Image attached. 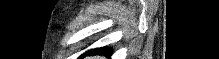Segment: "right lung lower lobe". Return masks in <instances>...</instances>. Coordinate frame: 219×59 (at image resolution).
<instances>
[{
  "label": "right lung lower lobe",
  "instance_id": "right-lung-lower-lobe-1",
  "mask_svg": "<svg viewBox=\"0 0 219 59\" xmlns=\"http://www.w3.org/2000/svg\"><path fill=\"white\" fill-rule=\"evenodd\" d=\"M93 54H101V55L111 56L112 55V49L108 48V47H101V48L93 49L91 51H88L84 55H82L80 58H82L86 55H93Z\"/></svg>",
  "mask_w": 219,
  "mask_h": 59
}]
</instances>
